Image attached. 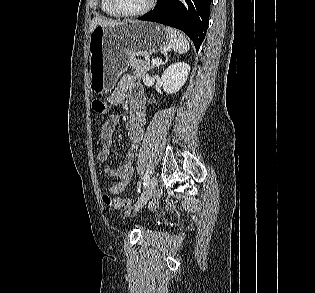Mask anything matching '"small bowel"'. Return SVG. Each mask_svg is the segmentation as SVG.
<instances>
[{"instance_id":"obj_1","label":"small bowel","mask_w":315,"mask_h":293,"mask_svg":"<svg viewBox=\"0 0 315 293\" xmlns=\"http://www.w3.org/2000/svg\"><path fill=\"white\" fill-rule=\"evenodd\" d=\"M126 99L129 100L130 106L129 119L125 124V130L129 137V147L121 165L116 169L108 168L105 170L107 175L117 178L116 183L104 187L111 194L121 193L131 182L134 158L143 138L146 123L143 89L135 83L130 75L124 76L108 96V101L112 106H118ZM118 121L117 114H110L101 127V147L97 154V160L101 163L107 161L110 155L113 133Z\"/></svg>"}]
</instances>
